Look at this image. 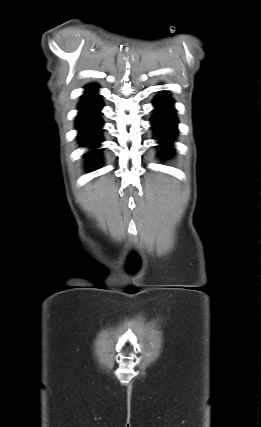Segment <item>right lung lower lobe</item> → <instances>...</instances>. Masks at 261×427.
Segmentation results:
<instances>
[{
  "mask_svg": "<svg viewBox=\"0 0 261 427\" xmlns=\"http://www.w3.org/2000/svg\"><path fill=\"white\" fill-rule=\"evenodd\" d=\"M103 106L100 95L95 92V87L88 86L79 105L80 113L77 116L76 128L79 130L78 139L84 146H95L102 141V125L100 108ZM98 150L86 154L85 158L92 164L100 162L96 155Z\"/></svg>",
  "mask_w": 261,
  "mask_h": 427,
  "instance_id": "1",
  "label": "right lung lower lobe"
}]
</instances>
